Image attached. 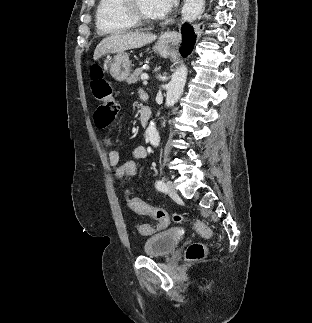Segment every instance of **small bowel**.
I'll use <instances>...</instances> for the list:
<instances>
[{
  "mask_svg": "<svg viewBox=\"0 0 312 323\" xmlns=\"http://www.w3.org/2000/svg\"><path fill=\"white\" fill-rule=\"evenodd\" d=\"M125 113H126L125 110L120 111V115H124ZM102 143L104 146H107V147L112 146V141L108 137H105L102 140ZM107 156H108L109 165L112 168L117 169V166L119 164H121V156H120L119 152L115 149H110L108 151ZM132 156L134 158H138V159H145L149 156V151L145 146H137L132 150ZM122 194H125V192H122ZM137 199H139V198H137ZM127 207L131 210V206H127Z\"/></svg>",
  "mask_w": 312,
  "mask_h": 323,
  "instance_id": "1",
  "label": "small bowel"
}]
</instances>
